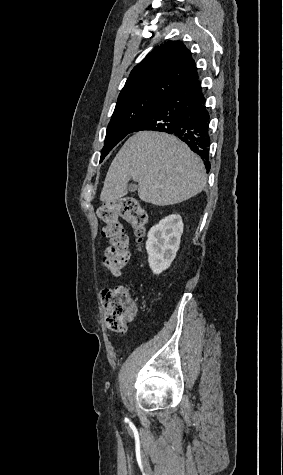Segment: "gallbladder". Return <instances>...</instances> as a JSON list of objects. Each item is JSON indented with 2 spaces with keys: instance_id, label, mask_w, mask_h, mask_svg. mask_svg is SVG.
Returning <instances> with one entry per match:
<instances>
[{
  "instance_id": "obj_1",
  "label": "gallbladder",
  "mask_w": 283,
  "mask_h": 475,
  "mask_svg": "<svg viewBox=\"0 0 283 475\" xmlns=\"http://www.w3.org/2000/svg\"><path fill=\"white\" fill-rule=\"evenodd\" d=\"M136 188H137V186H135V184H130V186H129L130 192H135Z\"/></svg>"
}]
</instances>
